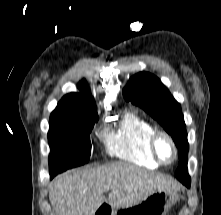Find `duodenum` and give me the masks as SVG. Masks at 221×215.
<instances>
[{"label": "duodenum", "mask_w": 221, "mask_h": 215, "mask_svg": "<svg viewBox=\"0 0 221 215\" xmlns=\"http://www.w3.org/2000/svg\"><path fill=\"white\" fill-rule=\"evenodd\" d=\"M95 215H111V207L102 205L95 213Z\"/></svg>", "instance_id": "1"}]
</instances>
